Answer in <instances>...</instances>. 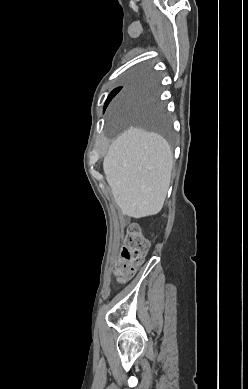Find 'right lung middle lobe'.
Masks as SVG:
<instances>
[{"instance_id": "obj_1", "label": "right lung middle lobe", "mask_w": 248, "mask_h": 389, "mask_svg": "<svg viewBox=\"0 0 248 389\" xmlns=\"http://www.w3.org/2000/svg\"><path fill=\"white\" fill-rule=\"evenodd\" d=\"M120 90L121 87L110 93L105 102L104 110ZM125 111L133 123L158 132L168 141L173 140L166 112L157 101L153 83H146L142 96L131 102Z\"/></svg>"}]
</instances>
